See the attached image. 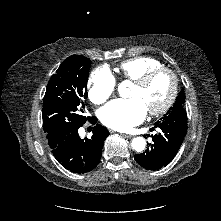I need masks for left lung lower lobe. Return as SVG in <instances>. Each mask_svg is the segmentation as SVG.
I'll return each instance as SVG.
<instances>
[{
	"mask_svg": "<svg viewBox=\"0 0 221 221\" xmlns=\"http://www.w3.org/2000/svg\"><path fill=\"white\" fill-rule=\"evenodd\" d=\"M155 128L157 133L152 137L153 144H149L143 153L135 154V160L147 170H158L168 165L177 154L187 133L166 122L155 123V127L150 131Z\"/></svg>",
	"mask_w": 221,
	"mask_h": 221,
	"instance_id": "obj_1",
	"label": "left lung lower lobe"
}]
</instances>
